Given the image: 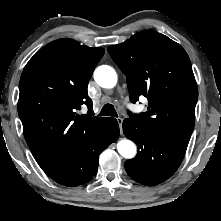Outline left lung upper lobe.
Wrapping results in <instances>:
<instances>
[{
    "label": "left lung upper lobe",
    "instance_id": "1",
    "mask_svg": "<svg viewBox=\"0 0 221 221\" xmlns=\"http://www.w3.org/2000/svg\"><path fill=\"white\" fill-rule=\"evenodd\" d=\"M108 52L127 78L131 102L148 98V111L130 118L162 138L188 145L198 89L183 47L149 30L109 46Z\"/></svg>",
    "mask_w": 221,
    "mask_h": 221
}]
</instances>
